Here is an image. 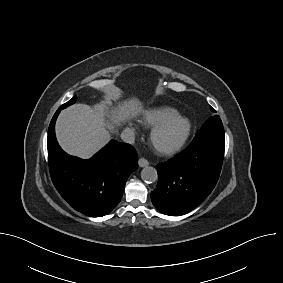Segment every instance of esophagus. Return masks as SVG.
I'll use <instances>...</instances> for the list:
<instances>
[{"instance_id":"obj_1","label":"esophagus","mask_w":283,"mask_h":283,"mask_svg":"<svg viewBox=\"0 0 283 283\" xmlns=\"http://www.w3.org/2000/svg\"><path fill=\"white\" fill-rule=\"evenodd\" d=\"M138 164L140 167H145V166H148L149 165V162L148 160H146L145 158H140L139 161H138Z\"/></svg>"}]
</instances>
